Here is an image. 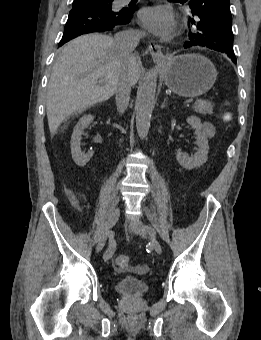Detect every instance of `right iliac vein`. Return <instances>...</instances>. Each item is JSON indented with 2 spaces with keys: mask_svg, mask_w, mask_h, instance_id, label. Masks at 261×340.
<instances>
[{
  "mask_svg": "<svg viewBox=\"0 0 261 340\" xmlns=\"http://www.w3.org/2000/svg\"><path fill=\"white\" fill-rule=\"evenodd\" d=\"M120 216V211L118 208L114 207L109 214L108 220H107V224H106V229H105V234L104 236L100 239V241L98 242L96 248H95V252L96 253H100L107 241V237L108 234L111 230V228L117 223L118 219Z\"/></svg>",
  "mask_w": 261,
  "mask_h": 340,
  "instance_id": "right-iliac-vein-1",
  "label": "right iliac vein"
}]
</instances>
